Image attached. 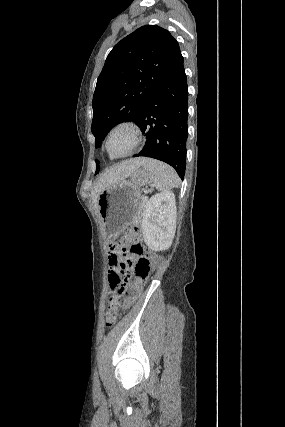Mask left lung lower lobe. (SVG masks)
Here are the masks:
<instances>
[{"mask_svg":"<svg viewBox=\"0 0 285 427\" xmlns=\"http://www.w3.org/2000/svg\"><path fill=\"white\" fill-rule=\"evenodd\" d=\"M188 85L183 56L177 58L147 101L136 123L146 144L134 157H151L171 165L181 179L186 169Z\"/></svg>","mask_w":285,"mask_h":427,"instance_id":"obj_1","label":"left lung lower lobe"}]
</instances>
